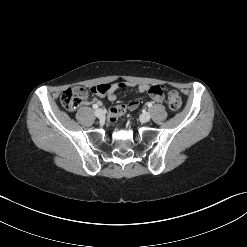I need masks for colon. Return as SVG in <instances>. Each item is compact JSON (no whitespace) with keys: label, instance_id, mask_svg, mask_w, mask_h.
I'll use <instances>...</instances> for the list:
<instances>
[{"label":"colon","instance_id":"colon-1","mask_svg":"<svg viewBox=\"0 0 247 247\" xmlns=\"http://www.w3.org/2000/svg\"><path fill=\"white\" fill-rule=\"evenodd\" d=\"M109 88V84H100L91 87L90 91L94 94L104 95L108 92ZM148 93L151 100L156 103H163L166 100L167 93V103L169 109L172 111H177L181 107L182 100L179 92L177 90L169 88L166 85L152 86L149 89ZM86 94V90L82 87L69 88L62 93L61 103L63 107L69 111L76 110L82 104ZM141 104V98L132 99L131 101H125L124 104L118 103L114 108L110 110L109 121L113 123L117 120L118 117H124L127 112L140 109Z\"/></svg>","mask_w":247,"mask_h":247}]
</instances>
